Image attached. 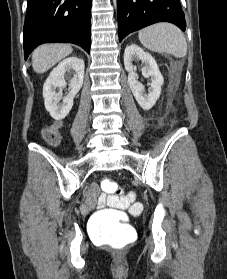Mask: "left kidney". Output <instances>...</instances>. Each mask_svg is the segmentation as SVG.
<instances>
[{
  "label": "left kidney",
  "mask_w": 227,
  "mask_h": 279,
  "mask_svg": "<svg viewBox=\"0 0 227 279\" xmlns=\"http://www.w3.org/2000/svg\"><path fill=\"white\" fill-rule=\"evenodd\" d=\"M134 59H139L145 64L142 67V75L146 78L151 77L148 94H144V86L138 82L136 67L132 64ZM124 66L128 72V84L136 101L142 109L150 110L160 97L161 86L164 83L163 76L159 71L155 59L138 45L131 44L124 51Z\"/></svg>",
  "instance_id": "5707ae66"
}]
</instances>
